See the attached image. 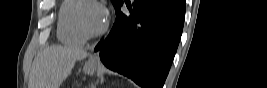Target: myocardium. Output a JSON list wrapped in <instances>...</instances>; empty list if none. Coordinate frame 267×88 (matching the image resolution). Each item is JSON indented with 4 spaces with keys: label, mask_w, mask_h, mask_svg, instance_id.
Segmentation results:
<instances>
[{
    "label": "myocardium",
    "mask_w": 267,
    "mask_h": 88,
    "mask_svg": "<svg viewBox=\"0 0 267 88\" xmlns=\"http://www.w3.org/2000/svg\"><path fill=\"white\" fill-rule=\"evenodd\" d=\"M85 2H89V3H93L95 4V2L93 1H85ZM82 3L80 2L79 7L77 9V22L80 28L81 33L86 37V38H93V37H98L102 34L105 33V31L108 28L109 25V21L108 19L105 20L103 26L95 31L89 30L86 26L85 23L83 21V17H82Z\"/></svg>",
    "instance_id": "1"
}]
</instances>
